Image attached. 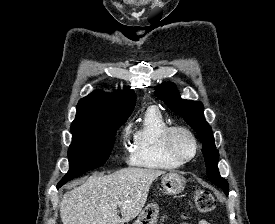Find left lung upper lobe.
I'll list each match as a JSON object with an SVG mask.
<instances>
[{
  "instance_id": "5c2ea615",
  "label": "left lung upper lobe",
  "mask_w": 275,
  "mask_h": 224,
  "mask_svg": "<svg viewBox=\"0 0 275 224\" xmlns=\"http://www.w3.org/2000/svg\"><path fill=\"white\" fill-rule=\"evenodd\" d=\"M155 95L163 100L171 110L183 116L185 121L204 138L202 141V153L206 162L207 176L214 184L227 193L228 182L220 176L218 171L219 153L214 144L212 129L204 118L203 104L197 101L181 99L175 85L172 83L159 85L156 88Z\"/></svg>"
}]
</instances>
